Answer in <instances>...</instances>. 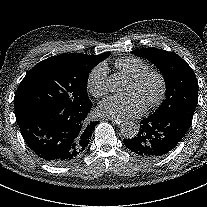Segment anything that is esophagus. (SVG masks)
Wrapping results in <instances>:
<instances>
[{"label": "esophagus", "instance_id": "obj_1", "mask_svg": "<svg viewBox=\"0 0 207 207\" xmlns=\"http://www.w3.org/2000/svg\"><path fill=\"white\" fill-rule=\"evenodd\" d=\"M108 119L111 120L112 122H115V125L117 127H122L124 125V120L122 118L109 117Z\"/></svg>", "mask_w": 207, "mask_h": 207}]
</instances>
